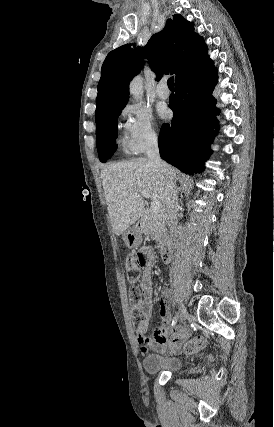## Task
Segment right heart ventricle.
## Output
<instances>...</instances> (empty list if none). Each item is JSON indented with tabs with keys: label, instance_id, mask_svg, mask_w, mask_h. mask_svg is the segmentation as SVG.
<instances>
[{
	"label": "right heart ventricle",
	"instance_id": "obj_1",
	"mask_svg": "<svg viewBox=\"0 0 274 427\" xmlns=\"http://www.w3.org/2000/svg\"><path fill=\"white\" fill-rule=\"evenodd\" d=\"M120 145L125 154H130L129 148L123 140H120Z\"/></svg>",
	"mask_w": 274,
	"mask_h": 427
}]
</instances>
